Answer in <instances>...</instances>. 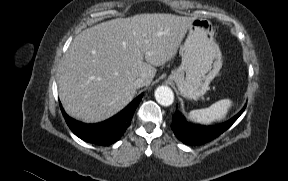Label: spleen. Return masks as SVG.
I'll return each instance as SVG.
<instances>
[{
  "mask_svg": "<svg viewBox=\"0 0 288 181\" xmlns=\"http://www.w3.org/2000/svg\"><path fill=\"white\" fill-rule=\"evenodd\" d=\"M231 105L232 101L230 99H222L208 108L190 111L189 118L199 123L210 124L214 121L223 119Z\"/></svg>",
  "mask_w": 288,
  "mask_h": 181,
  "instance_id": "spleen-1",
  "label": "spleen"
}]
</instances>
